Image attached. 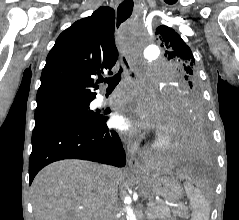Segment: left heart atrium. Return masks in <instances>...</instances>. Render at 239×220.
Instances as JSON below:
<instances>
[{"mask_svg": "<svg viewBox=\"0 0 239 220\" xmlns=\"http://www.w3.org/2000/svg\"><path fill=\"white\" fill-rule=\"evenodd\" d=\"M122 99L127 108L130 104L136 105L138 123L135 124L130 117L124 114H117L112 120L114 127L127 135H133L136 128L140 130H151L155 126L157 113L148 106L145 98L137 93H132L123 95Z\"/></svg>", "mask_w": 239, "mask_h": 220, "instance_id": "39dd6f15", "label": "left heart atrium"}]
</instances>
